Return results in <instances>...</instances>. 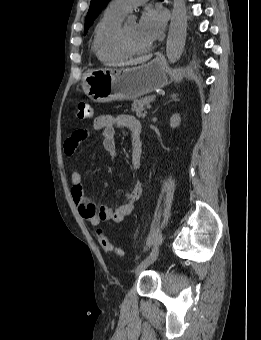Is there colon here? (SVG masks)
Masks as SVG:
<instances>
[{"label":"colon","mask_w":261,"mask_h":340,"mask_svg":"<svg viewBox=\"0 0 261 340\" xmlns=\"http://www.w3.org/2000/svg\"><path fill=\"white\" fill-rule=\"evenodd\" d=\"M94 116V109L87 103H79L75 106L74 117L78 120H85ZM97 240L101 248L107 252L116 256L123 257L124 253L121 249L113 246L103 229H97Z\"/></svg>","instance_id":"1"}]
</instances>
